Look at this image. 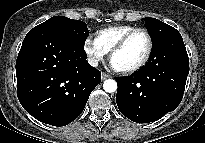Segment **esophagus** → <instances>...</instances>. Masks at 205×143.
Here are the masks:
<instances>
[{
    "instance_id": "esophagus-1",
    "label": "esophagus",
    "mask_w": 205,
    "mask_h": 143,
    "mask_svg": "<svg viewBox=\"0 0 205 143\" xmlns=\"http://www.w3.org/2000/svg\"><path fill=\"white\" fill-rule=\"evenodd\" d=\"M101 78H102V80H105V79L110 78V75H108V74H106V73H102V74H101Z\"/></svg>"
}]
</instances>
